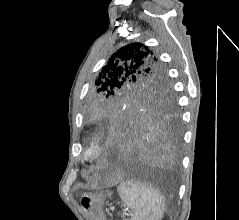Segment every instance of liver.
I'll return each mask as SVG.
<instances>
[{"instance_id": "1", "label": "liver", "mask_w": 239, "mask_h": 220, "mask_svg": "<svg viewBox=\"0 0 239 220\" xmlns=\"http://www.w3.org/2000/svg\"><path fill=\"white\" fill-rule=\"evenodd\" d=\"M120 179H121V176H120L119 174H116V175L112 176V177L107 181V184H108V185H114V184H116Z\"/></svg>"}]
</instances>
